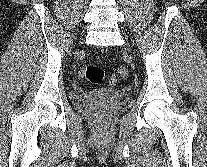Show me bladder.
I'll list each match as a JSON object with an SVG mask.
<instances>
[{"instance_id":"bladder-1","label":"bladder","mask_w":207,"mask_h":167,"mask_svg":"<svg viewBox=\"0 0 207 167\" xmlns=\"http://www.w3.org/2000/svg\"><path fill=\"white\" fill-rule=\"evenodd\" d=\"M121 98V93L116 90H92L86 92L82 96L84 102H103V101H116Z\"/></svg>"}]
</instances>
